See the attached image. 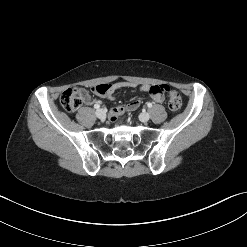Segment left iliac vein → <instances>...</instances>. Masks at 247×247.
I'll return each instance as SVG.
<instances>
[{"label": "left iliac vein", "mask_w": 247, "mask_h": 247, "mask_svg": "<svg viewBox=\"0 0 247 247\" xmlns=\"http://www.w3.org/2000/svg\"><path fill=\"white\" fill-rule=\"evenodd\" d=\"M139 118L142 122H147L150 119V115L148 113H142Z\"/></svg>", "instance_id": "obj_1"}]
</instances>
